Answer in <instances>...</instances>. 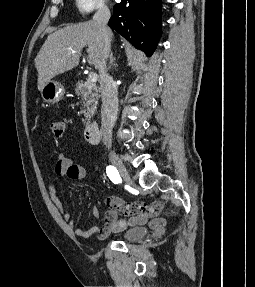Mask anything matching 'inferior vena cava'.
<instances>
[{
    "instance_id": "obj_1",
    "label": "inferior vena cava",
    "mask_w": 255,
    "mask_h": 287,
    "mask_svg": "<svg viewBox=\"0 0 255 287\" xmlns=\"http://www.w3.org/2000/svg\"><path fill=\"white\" fill-rule=\"evenodd\" d=\"M109 20L110 10L105 6L104 2H100L97 6V12L93 16V22L98 24L103 38V56L99 66V78L103 110V142L105 145H111L112 130L118 114L117 86L113 78L107 74V60L111 50L110 42L112 36L111 30L107 26Z\"/></svg>"
}]
</instances>
